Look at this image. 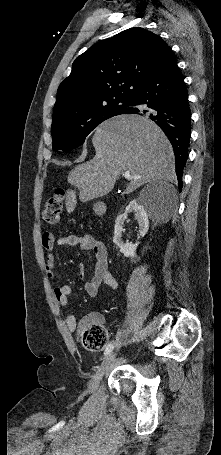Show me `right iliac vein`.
I'll use <instances>...</instances> for the list:
<instances>
[{"mask_svg": "<svg viewBox=\"0 0 221 455\" xmlns=\"http://www.w3.org/2000/svg\"><path fill=\"white\" fill-rule=\"evenodd\" d=\"M116 355H117L116 352H112V353L108 354L106 356V358L103 360L102 364L100 365L97 372L95 373V375L93 376V378L90 380V382L88 384L89 392H93L98 388L101 379L107 372L109 366L115 359Z\"/></svg>", "mask_w": 221, "mask_h": 455, "instance_id": "1", "label": "right iliac vein"}]
</instances>
